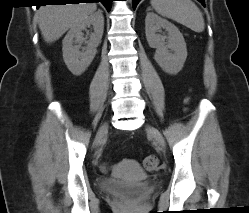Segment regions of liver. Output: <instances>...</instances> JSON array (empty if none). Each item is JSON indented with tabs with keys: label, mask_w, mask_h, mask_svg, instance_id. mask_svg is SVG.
I'll return each mask as SVG.
<instances>
[{
	"label": "liver",
	"mask_w": 249,
	"mask_h": 213,
	"mask_svg": "<svg viewBox=\"0 0 249 213\" xmlns=\"http://www.w3.org/2000/svg\"><path fill=\"white\" fill-rule=\"evenodd\" d=\"M96 9V3L46 5L38 9L36 18L44 40L52 43Z\"/></svg>",
	"instance_id": "6515ba94"
}]
</instances>
